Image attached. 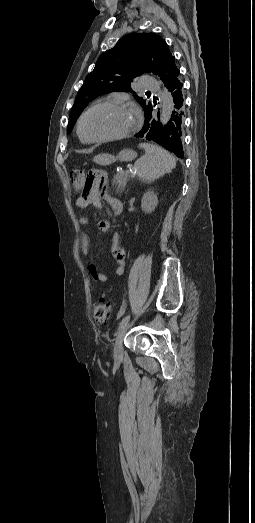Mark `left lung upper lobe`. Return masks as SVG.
<instances>
[{
  "instance_id": "left-lung-upper-lobe-1",
  "label": "left lung upper lobe",
  "mask_w": 255,
  "mask_h": 523,
  "mask_svg": "<svg viewBox=\"0 0 255 523\" xmlns=\"http://www.w3.org/2000/svg\"><path fill=\"white\" fill-rule=\"evenodd\" d=\"M144 72L159 75L165 86H168V81H173V77L178 76L180 70L175 65V57L172 56L164 39L155 33L128 34L99 57L94 70L86 77L71 109L67 133L70 134L77 118L92 100L113 91L134 93L130 83L133 78ZM180 89L182 92V88ZM133 96L144 111L154 110L150 102L146 103V100L136 94ZM144 115H147V112H144ZM158 118L160 120L159 112ZM146 121L145 119V123Z\"/></svg>"
}]
</instances>
